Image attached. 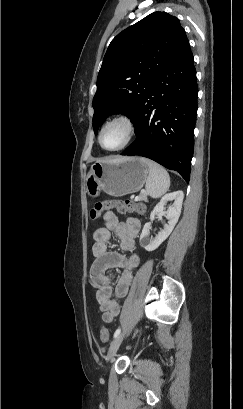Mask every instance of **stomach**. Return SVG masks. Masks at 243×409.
Instances as JSON below:
<instances>
[{
    "label": "stomach",
    "instance_id": "0dacf381",
    "mask_svg": "<svg viewBox=\"0 0 243 409\" xmlns=\"http://www.w3.org/2000/svg\"><path fill=\"white\" fill-rule=\"evenodd\" d=\"M148 166L135 157H120L94 163L86 177V192L97 197L104 191L122 197L139 191L148 178Z\"/></svg>",
    "mask_w": 243,
    "mask_h": 409
}]
</instances>
